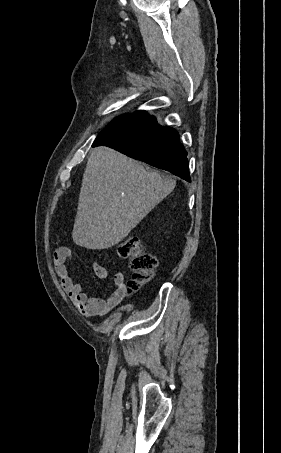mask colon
I'll list each match as a JSON object with an SVG mask.
<instances>
[{
	"mask_svg": "<svg viewBox=\"0 0 281 453\" xmlns=\"http://www.w3.org/2000/svg\"><path fill=\"white\" fill-rule=\"evenodd\" d=\"M117 256L128 263L131 279L128 286L131 289L150 281L154 275L157 258L146 251L138 238H127L111 246Z\"/></svg>",
	"mask_w": 281,
	"mask_h": 453,
	"instance_id": "obj_1",
	"label": "colon"
}]
</instances>
